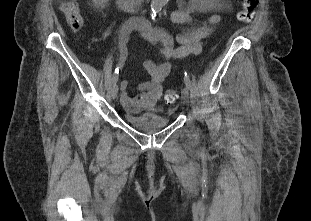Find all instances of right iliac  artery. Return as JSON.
I'll list each match as a JSON object with an SVG mask.
<instances>
[{
    "label": "right iliac artery",
    "mask_w": 311,
    "mask_h": 221,
    "mask_svg": "<svg viewBox=\"0 0 311 221\" xmlns=\"http://www.w3.org/2000/svg\"><path fill=\"white\" fill-rule=\"evenodd\" d=\"M120 66H117L113 73V83H116L118 81Z\"/></svg>",
    "instance_id": "right-iliac-artery-1"
}]
</instances>
